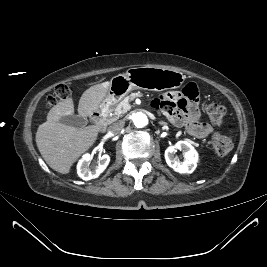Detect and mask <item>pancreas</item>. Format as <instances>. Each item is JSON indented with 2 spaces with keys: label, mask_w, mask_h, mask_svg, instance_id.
Returning a JSON list of instances; mask_svg holds the SVG:
<instances>
[{
  "label": "pancreas",
  "mask_w": 267,
  "mask_h": 267,
  "mask_svg": "<svg viewBox=\"0 0 267 267\" xmlns=\"http://www.w3.org/2000/svg\"><path fill=\"white\" fill-rule=\"evenodd\" d=\"M132 96H126L122 101H120L115 106L111 107L108 111V121H116L120 117H122L129 109V107H125L131 100Z\"/></svg>",
  "instance_id": "1"
}]
</instances>
